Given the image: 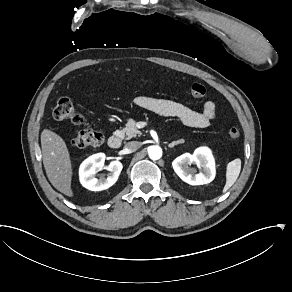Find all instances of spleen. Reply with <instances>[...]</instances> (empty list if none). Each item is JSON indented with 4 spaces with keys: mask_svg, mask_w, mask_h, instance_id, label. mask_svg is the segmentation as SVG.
I'll use <instances>...</instances> for the list:
<instances>
[{
    "mask_svg": "<svg viewBox=\"0 0 292 292\" xmlns=\"http://www.w3.org/2000/svg\"><path fill=\"white\" fill-rule=\"evenodd\" d=\"M241 171V160L235 159L227 164L226 184L223 192H226L237 180Z\"/></svg>",
    "mask_w": 292,
    "mask_h": 292,
    "instance_id": "spleen-1",
    "label": "spleen"
}]
</instances>
